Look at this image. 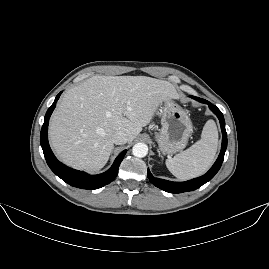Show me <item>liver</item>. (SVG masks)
Returning <instances> with one entry per match:
<instances>
[{"label":"liver","mask_w":269,"mask_h":269,"mask_svg":"<svg viewBox=\"0 0 269 269\" xmlns=\"http://www.w3.org/2000/svg\"><path fill=\"white\" fill-rule=\"evenodd\" d=\"M168 81L147 76H101L68 90L59 102L49 128L57 156L90 171L107 162L117 130L128 143L149 125L163 102L178 100Z\"/></svg>","instance_id":"1"}]
</instances>
